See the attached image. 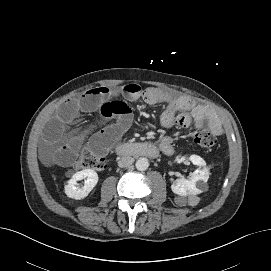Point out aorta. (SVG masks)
I'll list each match as a JSON object with an SVG mask.
<instances>
[{"instance_id":"obj_1","label":"aorta","mask_w":271,"mask_h":271,"mask_svg":"<svg viewBox=\"0 0 271 271\" xmlns=\"http://www.w3.org/2000/svg\"><path fill=\"white\" fill-rule=\"evenodd\" d=\"M136 169L139 171H145L149 167V161L147 158L141 157L136 161Z\"/></svg>"}]
</instances>
